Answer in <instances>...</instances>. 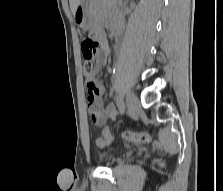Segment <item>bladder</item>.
<instances>
[{
	"label": "bladder",
	"mask_w": 223,
	"mask_h": 191,
	"mask_svg": "<svg viewBox=\"0 0 223 191\" xmlns=\"http://www.w3.org/2000/svg\"><path fill=\"white\" fill-rule=\"evenodd\" d=\"M97 158L100 161H111L113 159V152L110 148H101L97 151Z\"/></svg>",
	"instance_id": "bladder-1"
}]
</instances>
